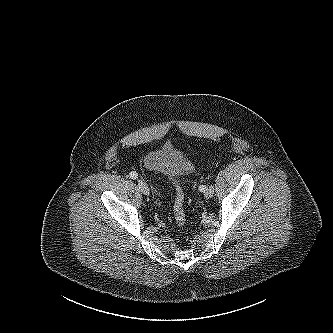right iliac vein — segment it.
Returning a JSON list of instances; mask_svg holds the SVG:
<instances>
[{
    "mask_svg": "<svg viewBox=\"0 0 333 333\" xmlns=\"http://www.w3.org/2000/svg\"><path fill=\"white\" fill-rule=\"evenodd\" d=\"M138 187L144 195H149V188L147 183L142 180H138Z\"/></svg>",
    "mask_w": 333,
    "mask_h": 333,
    "instance_id": "63e3f726",
    "label": "right iliac vein"
}]
</instances>
